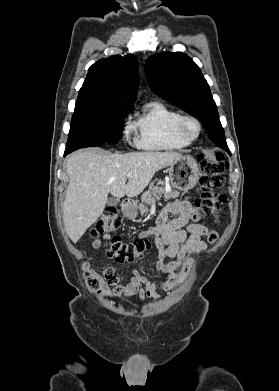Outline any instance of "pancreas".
Returning a JSON list of instances; mask_svg holds the SVG:
<instances>
[{
	"mask_svg": "<svg viewBox=\"0 0 279 391\" xmlns=\"http://www.w3.org/2000/svg\"><path fill=\"white\" fill-rule=\"evenodd\" d=\"M164 184V182H161ZM180 192L175 190H166L165 187H156L150 186L149 189L144 192L141 196V204H139L138 208L141 215L148 212V205H151L153 202L160 200L162 196H164L165 200L175 199L179 197Z\"/></svg>",
	"mask_w": 279,
	"mask_h": 391,
	"instance_id": "pancreas-1",
	"label": "pancreas"
}]
</instances>
